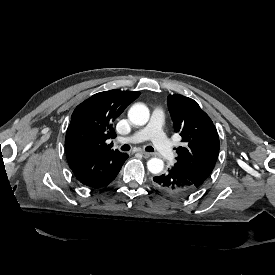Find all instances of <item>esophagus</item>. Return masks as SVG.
<instances>
[{"instance_id": "1", "label": "esophagus", "mask_w": 275, "mask_h": 275, "mask_svg": "<svg viewBox=\"0 0 275 275\" xmlns=\"http://www.w3.org/2000/svg\"><path fill=\"white\" fill-rule=\"evenodd\" d=\"M140 154L143 156V158H149L151 156L150 153L143 150L140 151Z\"/></svg>"}]
</instances>
